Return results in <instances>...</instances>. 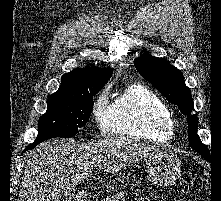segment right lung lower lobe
Masks as SVG:
<instances>
[{"label": "right lung lower lobe", "instance_id": "obj_1", "mask_svg": "<svg viewBox=\"0 0 221 201\" xmlns=\"http://www.w3.org/2000/svg\"><path fill=\"white\" fill-rule=\"evenodd\" d=\"M46 140H47V139H46ZM42 141H44V140H42ZM42 141H34L31 145L27 146V147L23 150V152L34 148L36 145H38V144L41 143Z\"/></svg>", "mask_w": 221, "mask_h": 201}]
</instances>
